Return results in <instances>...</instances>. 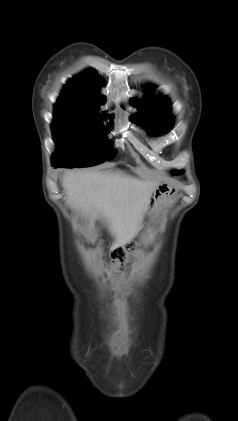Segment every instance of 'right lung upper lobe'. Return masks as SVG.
Here are the masks:
<instances>
[{"label": "right lung upper lobe", "mask_w": 238, "mask_h": 421, "mask_svg": "<svg viewBox=\"0 0 238 421\" xmlns=\"http://www.w3.org/2000/svg\"><path fill=\"white\" fill-rule=\"evenodd\" d=\"M101 84L102 80L97 72L86 70L67 82L59 99L99 104L102 99L96 92Z\"/></svg>", "instance_id": "right-lung-upper-lobe-1"}]
</instances>
